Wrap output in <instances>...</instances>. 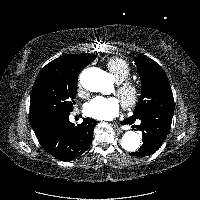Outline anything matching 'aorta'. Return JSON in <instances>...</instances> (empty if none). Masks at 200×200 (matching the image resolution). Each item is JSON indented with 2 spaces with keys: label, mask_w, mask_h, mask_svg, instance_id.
Instances as JSON below:
<instances>
[{
  "label": "aorta",
  "mask_w": 200,
  "mask_h": 200,
  "mask_svg": "<svg viewBox=\"0 0 200 200\" xmlns=\"http://www.w3.org/2000/svg\"><path fill=\"white\" fill-rule=\"evenodd\" d=\"M81 85L92 92H106L110 86L109 77L106 72L98 68H89L80 76ZM140 137L134 131L126 132L121 139V146L128 152L136 151L140 146Z\"/></svg>",
  "instance_id": "obj_1"
}]
</instances>
